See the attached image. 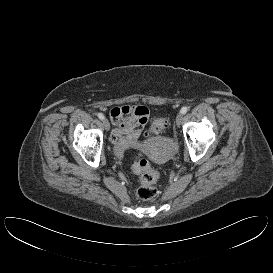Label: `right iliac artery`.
<instances>
[{
	"label": "right iliac artery",
	"instance_id": "obj_1",
	"mask_svg": "<svg viewBox=\"0 0 273 273\" xmlns=\"http://www.w3.org/2000/svg\"><path fill=\"white\" fill-rule=\"evenodd\" d=\"M98 117H99V119H101V120L105 119V117H104V115H103L102 113H98Z\"/></svg>",
	"mask_w": 273,
	"mask_h": 273
}]
</instances>
